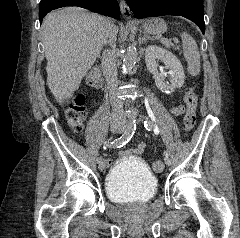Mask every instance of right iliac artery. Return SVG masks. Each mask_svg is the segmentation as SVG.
Masks as SVG:
<instances>
[{
	"label": "right iliac artery",
	"mask_w": 240,
	"mask_h": 238,
	"mask_svg": "<svg viewBox=\"0 0 240 238\" xmlns=\"http://www.w3.org/2000/svg\"><path fill=\"white\" fill-rule=\"evenodd\" d=\"M136 129V121L133 120L130 125L128 126V129L123 133V135L121 137H119L118 139H115L114 141L112 140H108L107 142L105 141V145L106 147H113V148H120L122 146H124L126 143H128L130 141V139L133 137L134 132ZM102 160L101 157H99L97 159L98 163Z\"/></svg>",
	"instance_id": "right-iliac-artery-1"
}]
</instances>
